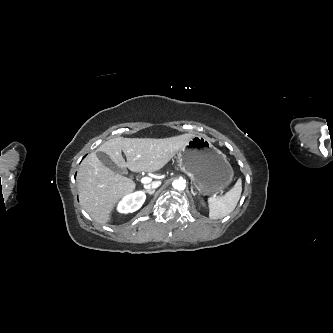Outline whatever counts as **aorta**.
Returning <instances> with one entry per match:
<instances>
[{
	"label": "aorta",
	"instance_id": "aorta-1",
	"mask_svg": "<svg viewBox=\"0 0 333 333\" xmlns=\"http://www.w3.org/2000/svg\"><path fill=\"white\" fill-rule=\"evenodd\" d=\"M172 185H173L174 189L179 190V191L184 190L186 187L185 181L182 179L175 180Z\"/></svg>",
	"mask_w": 333,
	"mask_h": 333
}]
</instances>
